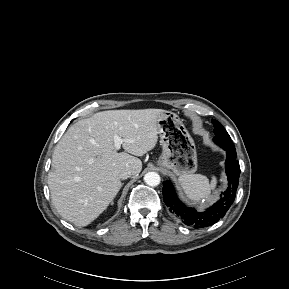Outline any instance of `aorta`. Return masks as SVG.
I'll return each mask as SVG.
<instances>
[{
  "label": "aorta",
  "instance_id": "aorta-1",
  "mask_svg": "<svg viewBox=\"0 0 289 289\" xmlns=\"http://www.w3.org/2000/svg\"><path fill=\"white\" fill-rule=\"evenodd\" d=\"M160 176L156 172H148L144 176V181L149 186H157L160 184Z\"/></svg>",
  "mask_w": 289,
  "mask_h": 289
}]
</instances>
